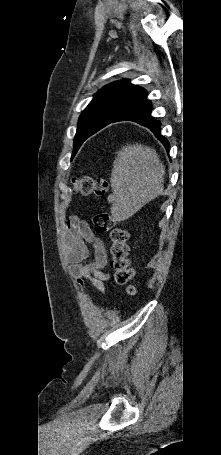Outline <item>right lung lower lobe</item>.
<instances>
[{"label": "right lung lower lobe", "instance_id": "1", "mask_svg": "<svg viewBox=\"0 0 221 455\" xmlns=\"http://www.w3.org/2000/svg\"><path fill=\"white\" fill-rule=\"evenodd\" d=\"M152 104L144 100L140 104L132 107L131 109L124 112L113 122L130 120L149 128L154 135L163 143L166 149H168L169 142L160 133V122L151 117Z\"/></svg>", "mask_w": 221, "mask_h": 455}]
</instances>
